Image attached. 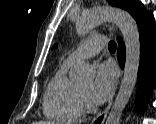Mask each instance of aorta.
Here are the masks:
<instances>
[{"label":"aorta","instance_id":"762f6f07","mask_svg":"<svg viewBox=\"0 0 156 124\" xmlns=\"http://www.w3.org/2000/svg\"><path fill=\"white\" fill-rule=\"evenodd\" d=\"M105 21H111L118 26L126 48L120 88L106 119V124H119L137 81L140 64V36L134 18L126 11L116 8H96L88 11L77 21V33L83 36ZM74 77L80 81L90 80L93 77V69L87 64L80 65L75 69Z\"/></svg>","mask_w":156,"mask_h":124}]
</instances>
